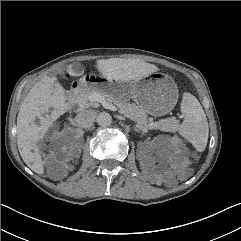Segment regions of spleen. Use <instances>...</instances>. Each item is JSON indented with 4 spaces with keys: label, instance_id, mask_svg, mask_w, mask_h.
<instances>
[{
    "label": "spleen",
    "instance_id": "obj_1",
    "mask_svg": "<svg viewBox=\"0 0 241 241\" xmlns=\"http://www.w3.org/2000/svg\"><path fill=\"white\" fill-rule=\"evenodd\" d=\"M181 112L184 120L176 130L178 129L180 135L190 141L197 151H204L208 141L209 128L206 115L197 98L184 92Z\"/></svg>",
    "mask_w": 241,
    "mask_h": 241
}]
</instances>
